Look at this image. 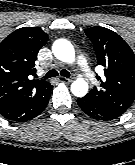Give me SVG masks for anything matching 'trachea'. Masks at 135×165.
<instances>
[{
    "label": "trachea",
    "instance_id": "trachea-1",
    "mask_svg": "<svg viewBox=\"0 0 135 165\" xmlns=\"http://www.w3.org/2000/svg\"><path fill=\"white\" fill-rule=\"evenodd\" d=\"M58 74H59V73H58L56 70H50V71L44 76V78H45V79H48V78L56 77V76H58ZM60 75L63 76V77H66V78H69V77H70V73H69L67 70H65V69H63V70L60 71Z\"/></svg>",
    "mask_w": 135,
    "mask_h": 165
}]
</instances>
